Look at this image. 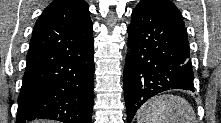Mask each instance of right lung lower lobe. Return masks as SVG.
I'll return each mask as SVG.
<instances>
[{
    "instance_id": "1",
    "label": "right lung lower lobe",
    "mask_w": 221,
    "mask_h": 123,
    "mask_svg": "<svg viewBox=\"0 0 221 123\" xmlns=\"http://www.w3.org/2000/svg\"><path fill=\"white\" fill-rule=\"evenodd\" d=\"M92 31L54 47L29 49L18 98L17 122L54 119L90 123L93 108Z\"/></svg>"
}]
</instances>
